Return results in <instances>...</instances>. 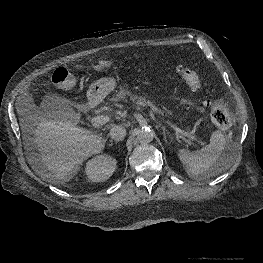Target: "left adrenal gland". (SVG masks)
Returning <instances> with one entry per match:
<instances>
[{"label":"left adrenal gland","instance_id":"obj_1","mask_svg":"<svg viewBox=\"0 0 263 263\" xmlns=\"http://www.w3.org/2000/svg\"><path fill=\"white\" fill-rule=\"evenodd\" d=\"M161 128L163 129V138H164L165 142L170 144L171 142H167V133H166L165 127L162 126Z\"/></svg>","mask_w":263,"mask_h":263}]
</instances>
